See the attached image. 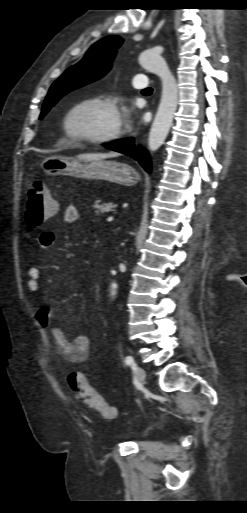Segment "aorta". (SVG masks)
I'll list each match as a JSON object with an SVG mask.
<instances>
[{
  "mask_svg": "<svg viewBox=\"0 0 247 513\" xmlns=\"http://www.w3.org/2000/svg\"><path fill=\"white\" fill-rule=\"evenodd\" d=\"M139 64L159 76L162 82L160 103L148 137L149 150L154 152L163 145L172 126L178 104V86L175 77L160 54L154 51H144L139 56ZM112 288L116 289L117 285L112 284ZM112 293L115 294V290Z\"/></svg>",
  "mask_w": 247,
  "mask_h": 513,
  "instance_id": "aorta-1",
  "label": "aorta"
}]
</instances>
